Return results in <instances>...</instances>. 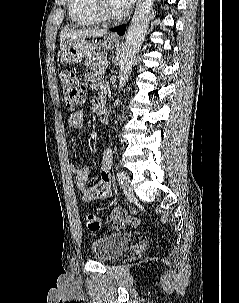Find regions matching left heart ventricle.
Masks as SVG:
<instances>
[{
  "instance_id": "left-heart-ventricle-1",
  "label": "left heart ventricle",
  "mask_w": 239,
  "mask_h": 303,
  "mask_svg": "<svg viewBox=\"0 0 239 303\" xmlns=\"http://www.w3.org/2000/svg\"><path fill=\"white\" fill-rule=\"evenodd\" d=\"M106 9L112 14H118L121 10L114 4L113 0H103Z\"/></svg>"
}]
</instances>
